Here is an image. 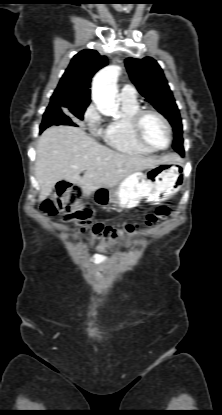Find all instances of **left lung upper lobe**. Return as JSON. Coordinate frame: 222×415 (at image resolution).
I'll return each instance as SVG.
<instances>
[{
    "instance_id": "left-lung-upper-lobe-1",
    "label": "left lung upper lobe",
    "mask_w": 222,
    "mask_h": 415,
    "mask_svg": "<svg viewBox=\"0 0 222 415\" xmlns=\"http://www.w3.org/2000/svg\"><path fill=\"white\" fill-rule=\"evenodd\" d=\"M125 65L132 82L141 95L170 122L174 130L173 148L184 153L182 123L178 107L158 63L151 57L127 58Z\"/></svg>"
}]
</instances>
